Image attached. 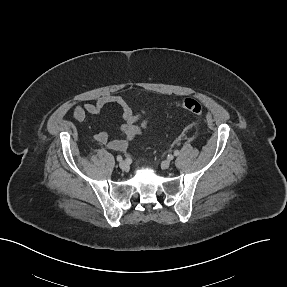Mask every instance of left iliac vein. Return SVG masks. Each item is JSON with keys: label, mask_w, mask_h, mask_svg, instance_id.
Segmentation results:
<instances>
[{"label": "left iliac vein", "mask_w": 287, "mask_h": 287, "mask_svg": "<svg viewBox=\"0 0 287 287\" xmlns=\"http://www.w3.org/2000/svg\"><path fill=\"white\" fill-rule=\"evenodd\" d=\"M170 164H171V161L170 160H164L162 163H161V167L162 169H168L170 167Z\"/></svg>", "instance_id": "4c4485c4"}]
</instances>
